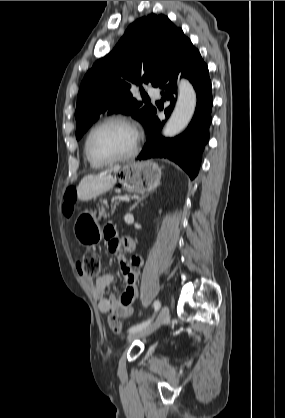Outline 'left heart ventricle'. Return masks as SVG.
<instances>
[{
	"label": "left heart ventricle",
	"mask_w": 285,
	"mask_h": 418,
	"mask_svg": "<svg viewBox=\"0 0 285 418\" xmlns=\"http://www.w3.org/2000/svg\"><path fill=\"white\" fill-rule=\"evenodd\" d=\"M135 133L129 127L109 124L95 132L90 141L92 153L99 158L119 157L134 146Z\"/></svg>",
	"instance_id": "obj_1"
}]
</instances>
